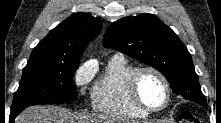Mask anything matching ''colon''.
Returning a JSON list of instances; mask_svg holds the SVG:
<instances>
[{
	"label": "colon",
	"mask_w": 221,
	"mask_h": 123,
	"mask_svg": "<svg viewBox=\"0 0 221 123\" xmlns=\"http://www.w3.org/2000/svg\"><path fill=\"white\" fill-rule=\"evenodd\" d=\"M180 123H199V119L189 111H183L179 117Z\"/></svg>",
	"instance_id": "obj_1"
}]
</instances>
